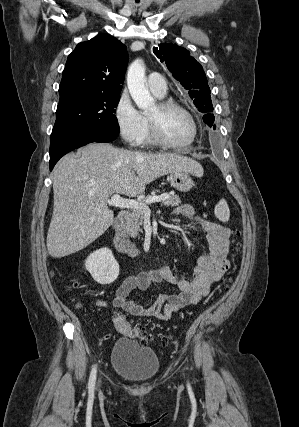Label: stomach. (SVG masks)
<instances>
[{"instance_id": "stomach-1", "label": "stomach", "mask_w": 299, "mask_h": 427, "mask_svg": "<svg viewBox=\"0 0 299 427\" xmlns=\"http://www.w3.org/2000/svg\"><path fill=\"white\" fill-rule=\"evenodd\" d=\"M168 180L171 186L180 192H188L194 186L190 173L186 171L171 172Z\"/></svg>"}]
</instances>
